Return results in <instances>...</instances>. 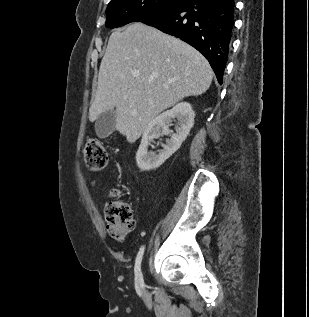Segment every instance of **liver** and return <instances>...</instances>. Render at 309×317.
Segmentation results:
<instances>
[{"label": "liver", "instance_id": "obj_1", "mask_svg": "<svg viewBox=\"0 0 309 317\" xmlns=\"http://www.w3.org/2000/svg\"><path fill=\"white\" fill-rule=\"evenodd\" d=\"M212 79L208 61L196 49L154 27L132 23L109 38L89 120L116 108V130L133 143L159 113L185 97L202 95Z\"/></svg>", "mask_w": 309, "mask_h": 317}]
</instances>
